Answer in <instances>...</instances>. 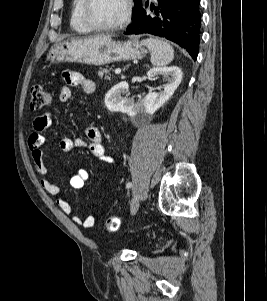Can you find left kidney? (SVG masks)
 Wrapping results in <instances>:
<instances>
[{"mask_svg": "<svg viewBox=\"0 0 267 301\" xmlns=\"http://www.w3.org/2000/svg\"><path fill=\"white\" fill-rule=\"evenodd\" d=\"M162 76L167 84L159 93H148L142 100L135 103L133 98L123 97L128 92L129 86L126 82H120L113 86L105 96V105L111 112H132L136 107H141L146 112H152L163 106L174 94L181 83L182 71L177 66L157 67L150 69L147 73L149 78Z\"/></svg>", "mask_w": 267, "mask_h": 301, "instance_id": "1", "label": "left kidney"}]
</instances>
